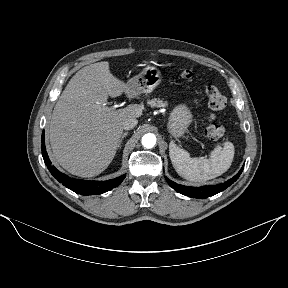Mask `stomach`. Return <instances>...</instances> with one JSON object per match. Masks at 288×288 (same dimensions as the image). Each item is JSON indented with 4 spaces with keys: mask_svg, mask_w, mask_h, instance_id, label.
<instances>
[{
    "mask_svg": "<svg viewBox=\"0 0 288 288\" xmlns=\"http://www.w3.org/2000/svg\"><path fill=\"white\" fill-rule=\"evenodd\" d=\"M162 80L161 71L154 66H147L141 73L131 78L127 87L130 95L137 96L142 93L152 92ZM193 115L186 104H179L170 113L167 128L175 137H181L187 131L192 122Z\"/></svg>",
    "mask_w": 288,
    "mask_h": 288,
    "instance_id": "0dacf381",
    "label": "stomach"
}]
</instances>
